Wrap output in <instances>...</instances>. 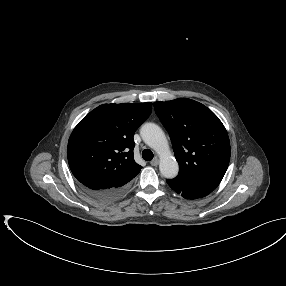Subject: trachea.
Masks as SVG:
<instances>
[{
  "label": "trachea",
  "instance_id": "trachea-1",
  "mask_svg": "<svg viewBox=\"0 0 286 286\" xmlns=\"http://www.w3.org/2000/svg\"><path fill=\"white\" fill-rule=\"evenodd\" d=\"M153 152L150 149H145L142 152V157L144 160H149L151 161L153 159Z\"/></svg>",
  "mask_w": 286,
  "mask_h": 286
}]
</instances>
